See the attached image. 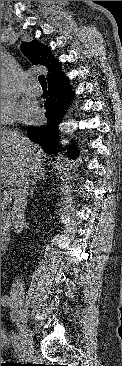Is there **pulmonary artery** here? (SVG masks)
<instances>
[{"label": "pulmonary artery", "instance_id": "e3ab8cb5", "mask_svg": "<svg viewBox=\"0 0 122 366\" xmlns=\"http://www.w3.org/2000/svg\"><path fill=\"white\" fill-rule=\"evenodd\" d=\"M23 92L31 96H39L41 94V88L37 83L27 80L23 85Z\"/></svg>", "mask_w": 122, "mask_h": 366}]
</instances>
